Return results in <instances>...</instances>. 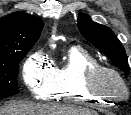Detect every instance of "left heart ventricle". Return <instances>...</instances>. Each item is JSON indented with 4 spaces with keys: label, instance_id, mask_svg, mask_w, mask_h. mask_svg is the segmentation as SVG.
<instances>
[{
    "label": "left heart ventricle",
    "instance_id": "obj_1",
    "mask_svg": "<svg viewBox=\"0 0 131 115\" xmlns=\"http://www.w3.org/2000/svg\"><path fill=\"white\" fill-rule=\"evenodd\" d=\"M101 87L108 92H120L121 86L117 80L109 75H103L100 79Z\"/></svg>",
    "mask_w": 131,
    "mask_h": 115
}]
</instances>
